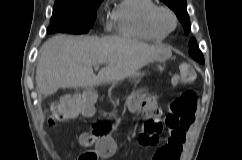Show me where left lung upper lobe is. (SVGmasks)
I'll list each match as a JSON object with an SVG mask.
<instances>
[{"label": "left lung upper lobe", "mask_w": 242, "mask_h": 160, "mask_svg": "<svg viewBox=\"0 0 242 160\" xmlns=\"http://www.w3.org/2000/svg\"><path fill=\"white\" fill-rule=\"evenodd\" d=\"M167 6H169L177 15L178 19L184 27L185 34H188L190 31V20L187 13L186 0H161ZM189 54L190 56L200 63H204V58L202 52L197 46L196 40L192 38L189 42Z\"/></svg>", "instance_id": "obj_1"}]
</instances>
